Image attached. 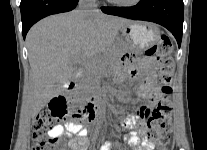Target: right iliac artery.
<instances>
[{
    "label": "right iliac artery",
    "mask_w": 207,
    "mask_h": 150,
    "mask_svg": "<svg viewBox=\"0 0 207 150\" xmlns=\"http://www.w3.org/2000/svg\"><path fill=\"white\" fill-rule=\"evenodd\" d=\"M109 143H106L105 145H103L102 147H101V149L100 150H109Z\"/></svg>",
    "instance_id": "right-iliac-artery-1"
}]
</instances>
